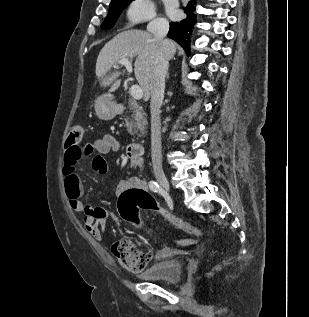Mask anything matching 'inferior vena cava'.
I'll return each mask as SVG.
<instances>
[{
  "mask_svg": "<svg viewBox=\"0 0 309 317\" xmlns=\"http://www.w3.org/2000/svg\"><path fill=\"white\" fill-rule=\"evenodd\" d=\"M154 38L161 44L156 59L154 77L152 82L150 111H151V157L155 172L162 171L161 152V119L160 107L164 98L165 77L168 72V61L172 57L174 45L165 39L169 31V23L166 19L157 18L151 21L147 27Z\"/></svg>",
  "mask_w": 309,
  "mask_h": 317,
  "instance_id": "obj_1",
  "label": "inferior vena cava"
}]
</instances>
